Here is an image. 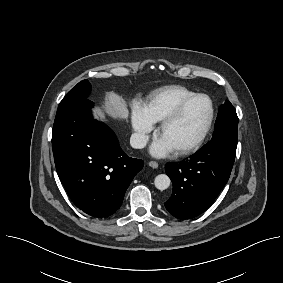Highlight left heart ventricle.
Returning a JSON list of instances; mask_svg holds the SVG:
<instances>
[{"label":"left heart ventricle","instance_id":"left-heart-ventricle-1","mask_svg":"<svg viewBox=\"0 0 283 283\" xmlns=\"http://www.w3.org/2000/svg\"><path fill=\"white\" fill-rule=\"evenodd\" d=\"M210 111L208 99H196L187 106L176 122L160 134V138L170 144L174 150L193 143L204 130Z\"/></svg>","mask_w":283,"mask_h":283}]
</instances>
